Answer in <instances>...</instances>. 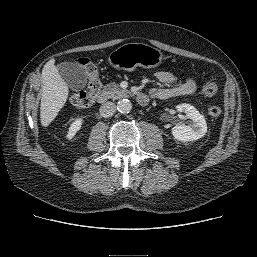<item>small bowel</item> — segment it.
Instances as JSON below:
<instances>
[{
  "mask_svg": "<svg viewBox=\"0 0 257 257\" xmlns=\"http://www.w3.org/2000/svg\"><path fill=\"white\" fill-rule=\"evenodd\" d=\"M153 76L161 83L174 84L169 88H152L149 94L154 99L165 100L182 95H193L197 91V83L190 76L167 70H158Z\"/></svg>",
  "mask_w": 257,
  "mask_h": 257,
  "instance_id": "c3829d8e",
  "label": "small bowel"
}]
</instances>
